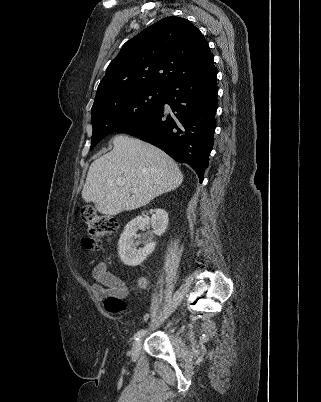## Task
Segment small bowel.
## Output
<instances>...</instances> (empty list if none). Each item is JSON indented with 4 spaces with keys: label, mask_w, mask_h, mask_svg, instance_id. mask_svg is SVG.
I'll return each instance as SVG.
<instances>
[{
    "label": "small bowel",
    "mask_w": 321,
    "mask_h": 402,
    "mask_svg": "<svg viewBox=\"0 0 321 402\" xmlns=\"http://www.w3.org/2000/svg\"><path fill=\"white\" fill-rule=\"evenodd\" d=\"M93 276L96 283L93 285L94 293L100 297H118L123 298L127 295V287L123 280L109 272L104 264H99L93 269ZM141 284L145 281L140 280Z\"/></svg>",
    "instance_id": "small-bowel-1"
}]
</instances>
